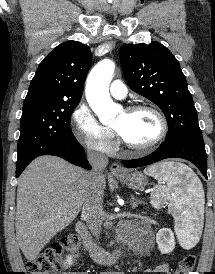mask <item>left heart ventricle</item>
I'll return each mask as SVG.
<instances>
[{
    "mask_svg": "<svg viewBox=\"0 0 215 274\" xmlns=\"http://www.w3.org/2000/svg\"><path fill=\"white\" fill-rule=\"evenodd\" d=\"M113 128L129 143L143 145L152 141L159 133L157 117L150 111L121 112Z\"/></svg>",
    "mask_w": 215,
    "mask_h": 274,
    "instance_id": "b2bd125f",
    "label": "left heart ventricle"
}]
</instances>
